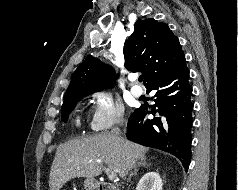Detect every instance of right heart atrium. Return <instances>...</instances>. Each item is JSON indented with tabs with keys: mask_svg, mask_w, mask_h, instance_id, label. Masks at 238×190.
<instances>
[{
	"mask_svg": "<svg viewBox=\"0 0 238 190\" xmlns=\"http://www.w3.org/2000/svg\"><path fill=\"white\" fill-rule=\"evenodd\" d=\"M90 103V127L93 131L103 132L123 122L124 108L109 93L95 92Z\"/></svg>",
	"mask_w": 238,
	"mask_h": 190,
	"instance_id": "obj_1",
	"label": "right heart atrium"
}]
</instances>
